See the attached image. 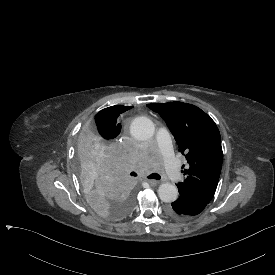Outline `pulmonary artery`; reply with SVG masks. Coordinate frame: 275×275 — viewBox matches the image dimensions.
<instances>
[{"instance_id":"1","label":"pulmonary artery","mask_w":275,"mask_h":275,"mask_svg":"<svg viewBox=\"0 0 275 275\" xmlns=\"http://www.w3.org/2000/svg\"><path fill=\"white\" fill-rule=\"evenodd\" d=\"M158 152L162 155L164 165L166 166V176L170 181H177L180 178V170L177 155L174 148L168 142L170 132L167 129H160L157 132Z\"/></svg>"}]
</instances>
